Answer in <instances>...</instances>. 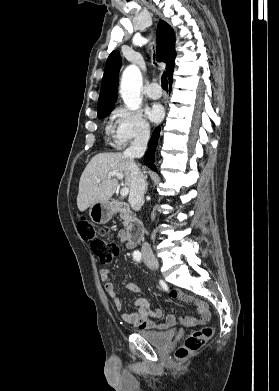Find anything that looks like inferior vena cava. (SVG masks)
<instances>
[{
  "label": "inferior vena cava",
  "mask_w": 279,
  "mask_h": 391,
  "mask_svg": "<svg viewBox=\"0 0 279 391\" xmlns=\"http://www.w3.org/2000/svg\"><path fill=\"white\" fill-rule=\"evenodd\" d=\"M150 137V130L148 127L143 128L136 136L129 148L124 151V156L129 159L130 171L132 176V184L129 194V203L133 210L139 211L143 201L144 193L146 189L145 177L141 173L137 164L135 163V158H140L144 155L147 143ZM142 253L152 255V249L150 245L145 242L142 245Z\"/></svg>",
  "instance_id": "inferior-vena-cava-1"
}]
</instances>
